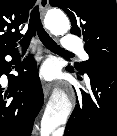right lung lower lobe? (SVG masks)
Listing matches in <instances>:
<instances>
[{
  "instance_id": "right-lung-lower-lobe-1",
  "label": "right lung lower lobe",
  "mask_w": 117,
  "mask_h": 136,
  "mask_svg": "<svg viewBox=\"0 0 117 136\" xmlns=\"http://www.w3.org/2000/svg\"><path fill=\"white\" fill-rule=\"evenodd\" d=\"M6 55L18 58L16 49L0 55V77L8 76V85L0 84V136H30L44 99L36 61L30 56L7 62ZM12 64L17 65L18 76L8 75Z\"/></svg>"
}]
</instances>
